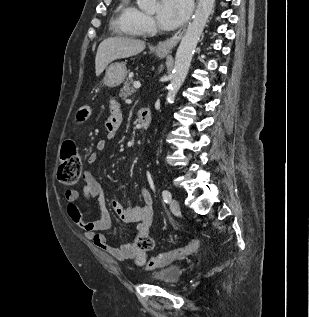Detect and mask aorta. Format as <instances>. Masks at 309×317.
Instances as JSON below:
<instances>
[{"instance_id":"1","label":"aorta","mask_w":309,"mask_h":317,"mask_svg":"<svg viewBox=\"0 0 309 317\" xmlns=\"http://www.w3.org/2000/svg\"><path fill=\"white\" fill-rule=\"evenodd\" d=\"M137 3L140 9L150 12L155 9L156 0H137ZM214 3L215 0L198 1L192 21L188 25L176 53L172 79L168 86L166 103H170L174 100L177 92L185 81L194 51L213 9Z\"/></svg>"}]
</instances>
